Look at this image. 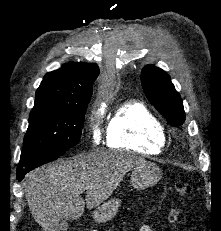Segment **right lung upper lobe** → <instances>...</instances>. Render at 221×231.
Masks as SVG:
<instances>
[{"mask_svg":"<svg viewBox=\"0 0 221 231\" xmlns=\"http://www.w3.org/2000/svg\"><path fill=\"white\" fill-rule=\"evenodd\" d=\"M99 69L96 64L68 63L44 76L35 94L34 107L90 101Z\"/></svg>","mask_w":221,"mask_h":231,"instance_id":"right-lung-upper-lobe-1","label":"right lung upper lobe"}]
</instances>
